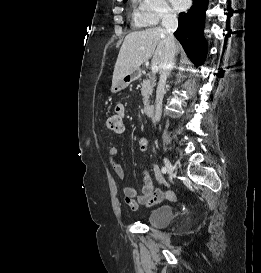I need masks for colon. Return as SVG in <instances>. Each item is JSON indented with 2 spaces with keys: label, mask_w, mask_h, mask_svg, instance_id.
<instances>
[{
  "label": "colon",
  "mask_w": 261,
  "mask_h": 273,
  "mask_svg": "<svg viewBox=\"0 0 261 273\" xmlns=\"http://www.w3.org/2000/svg\"><path fill=\"white\" fill-rule=\"evenodd\" d=\"M107 127L112 131H119L122 129V118L119 115H111L107 119ZM171 195V193H168Z\"/></svg>",
  "instance_id": "obj_1"
}]
</instances>
